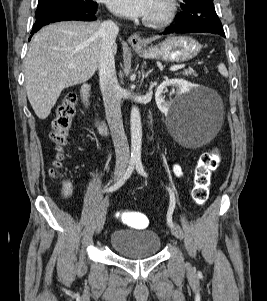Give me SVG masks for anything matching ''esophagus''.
<instances>
[{"mask_svg": "<svg viewBox=\"0 0 267 301\" xmlns=\"http://www.w3.org/2000/svg\"><path fill=\"white\" fill-rule=\"evenodd\" d=\"M128 42L132 47H142V46H144V41L142 40L140 35L137 34V33L132 34L129 37Z\"/></svg>", "mask_w": 267, "mask_h": 301, "instance_id": "obj_1", "label": "esophagus"}]
</instances>
